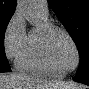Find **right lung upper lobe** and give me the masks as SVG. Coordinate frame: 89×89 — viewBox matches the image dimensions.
Here are the masks:
<instances>
[{"label": "right lung upper lobe", "instance_id": "1", "mask_svg": "<svg viewBox=\"0 0 89 89\" xmlns=\"http://www.w3.org/2000/svg\"><path fill=\"white\" fill-rule=\"evenodd\" d=\"M16 9V0H0V13L13 14Z\"/></svg>", "mask_w": 89, "mask_h": 89}]
</instances>
